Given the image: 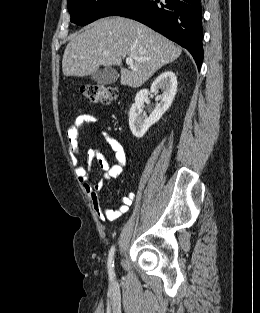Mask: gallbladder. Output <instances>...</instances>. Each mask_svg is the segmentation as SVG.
<instances>
[{"label":"gallbladder","instance_id":"obj_1","mask_svg":"<svg viewBox=\"0 0 260 313\" xmlns=\"http://www.w3.org/2000/svg\"><path fill=\"white\" fill-rule=\"evenodd\" d=\"M118 76V72L115 69L108 67L92 73L90 78L101 85H109L115 83Z\"/></svg>","mask_w":260,"mask_h":313}]
</instances>
